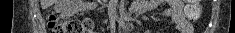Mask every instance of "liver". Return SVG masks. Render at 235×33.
Here are the masks:
<instances>
[{"mask_svg":"<svg viewBox=\"0 0 235 33\" xmlns=\"http://www.w3.org/2000/svg\"><path fill=\"white\" fill-rule=\"evenodd\" d=\"M55 3V0H40L42 9H47Z\"/></svg>","mask_w":235,"mask_h":33,"instance_id":"liver-1","label":"liver"}]
</instances>
